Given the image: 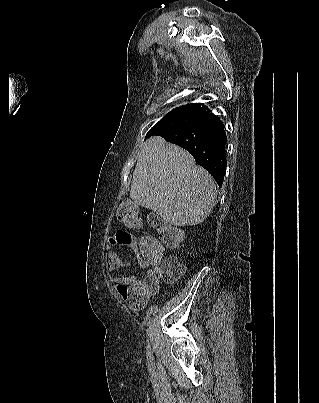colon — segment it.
Listing matches in <instances>:
<instances>
[{
  "label": "colon",
  "instance_id": "colon-1",
  "mask_svg": "<svg viewBox=\"0 0 319 403\" xmlns=\"http://www.w3.org/2000/svg\"><path fill=\"white\" fill-rule=\"evenodd\" d=\"M122 204L123 206L118 212L119 219L126 225L138 226L141 216L133 199L131 197H124ZM149 222L157 229L159 234H142L138 236L139 248L133 250L134 252H142L147 259L154 261L156 264L154 270L148 272L144 278L146 285L149 286L151 295L157 291L161 280L173 282L180 278L184 273V266L176 258L162 259L165 247L178 245L182 239V233L176 228L167 225L155 215L149 217Z\"/></svg>",
  "mask_w": 319,
  "mask_h": 403
}]
</instances>
